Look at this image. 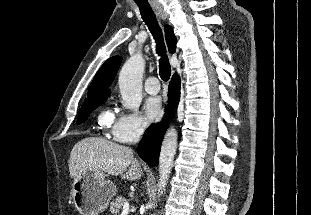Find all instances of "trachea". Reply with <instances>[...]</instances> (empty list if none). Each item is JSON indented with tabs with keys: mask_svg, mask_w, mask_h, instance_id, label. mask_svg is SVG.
<instances>
[{
	"mask_svg": "<svg viewBox=\"0 0 311 215\" xmlns=\"http://www.w3.org/2000/svg\"><path fill=\"white\" fill-rule=\"evenodd\" d=\"M140 9V13L142 16L143 21L148 26L151 34L153 35L157 47H156V53L158 56H160L159 59V74L163 81H168L171 75V66L169 63L168 56L166 54V47L162 35V30L160 26L158 25L156 16L150 6H140L138 5Z\"/></svg>",
	"mask_w": 311,
	"mask_h": 215,
	"instance_id": "obj_1",
	"label": "trachea"
}]
</instances>
